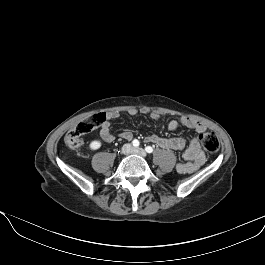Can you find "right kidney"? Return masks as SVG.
Wrapping results in <instances>:
<instances>
[{
	"instance_id": "right-kidney-1",
	"label": "right kidney",
	"mask_w": 265,
	"mask_h": 265,
	"mask_svg": "<svg viewBox=\"0 0 265 265\" xmlns=\"http://www.w3.org/2000/svg\"><path fill=\"white\" fill-rule=\"evenodd\" d=\"M101 142L100 141H98V140H93V141H91L90 142V144H89V148L91 149V150H97V149H99L100 147H101Z\"/></svg>"
}]
</instances>
